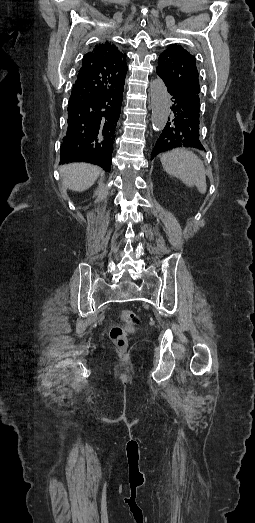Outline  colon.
<instances>
[{
  "mask_svg": "<svg viewBox=\"0 0 255 523\" xmlns=\"http://www.w3.org/2000/svg\"><path fill=\"white\" fill-rule=\"evenodd\" d=\"M117 322L121 325H136L138 316L131 310H121L117 315ZM110 338L119 348H125L128 343V335L123 326H115L110 331Z\"/></svg>",
  "mask_w": 255,
  "mask_h": 523,
  "instance_id": "colon-1",
  "label": "colon"
}]
</instances>
